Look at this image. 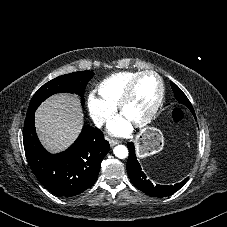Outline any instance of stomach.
Returning a JSON list of instances; mask_svg holds the SVG:
<instances>
[{"label":"stomach","mask_w":227,"mask_h":227,"mask_svg":"<svg viewBox=\"0 0 227 227\" xmlns=\"http://www.w3.org/2000/svg\"><path fill=\"white\" fill-rule=\"evenodd\" d=\"M135 144L137 155L140 158H145L163 149L164 137L159 129L148 127L136 136Z\"/></svg>","instance_id":"1"}]
</instances>
